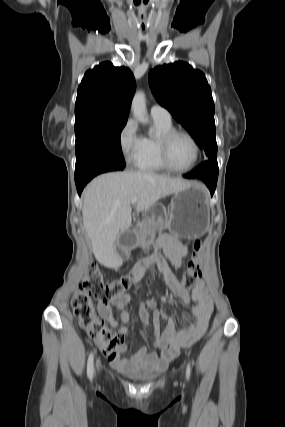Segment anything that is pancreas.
Returning <instances> with one entry per match:
<instances>
[{
    "mask_svg": "<svg viewBox=\"0 0 285 427\" xmlns=\"http://www.w3.org/2000/svg\"><path fill=\"white\" fill-rule=\"evenodd\" d=\"M150 226L151 225H150V223L148 222L147 219H144L143 221L138 222L137 226H136V234L137 235L142 234L143 232H145L146 230H148L150 228Z\"/></svg>",
    "mask_w": 285,
    "mask_h": 427,
    "instance_id": "pancreas-1",
    "label": "pancreas"
}]
</instances>
